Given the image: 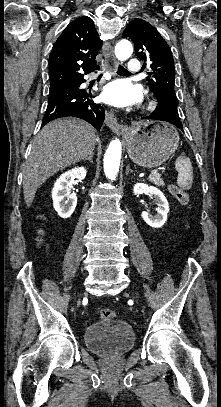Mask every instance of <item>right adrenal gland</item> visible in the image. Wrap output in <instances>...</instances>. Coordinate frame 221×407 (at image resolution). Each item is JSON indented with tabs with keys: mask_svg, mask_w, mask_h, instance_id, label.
<instances>
[{
	"mask_svg": "<svg viewBox=\"0 0 221 407\" xmlns=\"http://www.w3.org/2000/svg\"><path fill=\"white\" fill-rule=\"evenodd\" d=\"M85 160H89L91 163H93V153L90 154L88 157L84 158V161Z\"/></svg>",
	"mask_w": 221,
	"mask_h": 407,
	"instance_id": "obj_1",
	"label": "right adrenal gland"
}]
</instances>
